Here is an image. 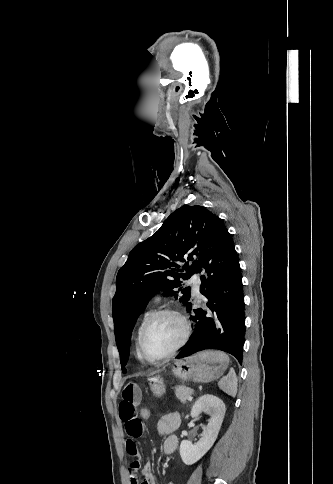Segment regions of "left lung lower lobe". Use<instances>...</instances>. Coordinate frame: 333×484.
<instances>
[{
  "label": "left lung lower lobe",
  "mask_w": 333,
  "mask_h": 484,
  "mask_svg": "<svg viewBox=\"0 0 333 484\" xmlns=\"http://www.w3.org/2000/svg\"><path fill=\"white\" fill-rule=\"evenodd\" d=\"M198 272L205 273L200 293L208 302L205 309H192L187 304L194 332L176 358L218 349L232 354L241 364L245 334L241 270L231 235L218 217L212 221L196 259L193 274Z\"/></svg>",
  "instance_id": "obj_1"
}]
</instances>
